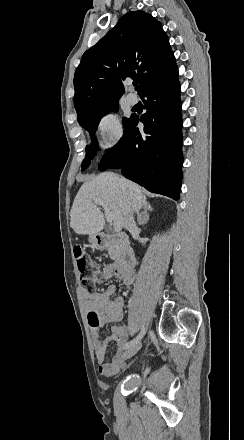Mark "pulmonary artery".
Returning a JSON list of instances; mask_svg holds the SVG:
<instances>
[{"label":"pulmonary artery","instance_id":"e3ab8cb5","mask_svg":"<svg viewBox=\"0 0 244 440\" xmlns=\"http://www.w3.org/2000/svg\"><path fill=\"white\" fill-rule=\"evenodd\" d=\"M127 100H128V102H129L130 104L134 105V104L137 103L138 98H137V96H136L134 93H129V94L127 95Z\"/></svg>","mask_w":244,"mask_h":440}]
</instances>
